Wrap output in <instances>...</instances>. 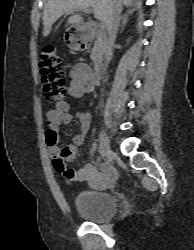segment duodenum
Instances as JSON below:
<instances>
[{
	"label": "duodenum",
	"mask_w": 194,
	"mask_h": 250,
	"mask_svg": "<svg viewBox=\"0 0 194 250\" xmlns=\"http://www.w3.org/2000/svg\"><path fill=\"white\" fill-rule=\"evenodd\" d=\"M85 26L87 28H90L91 25L89 23H86ZM102 77V66L100 63H97L94 65L92 73H91V79L93 84H98L101 81Z\"/></svg>",
	"instance_id": "obj_1"
}]
</instances>
